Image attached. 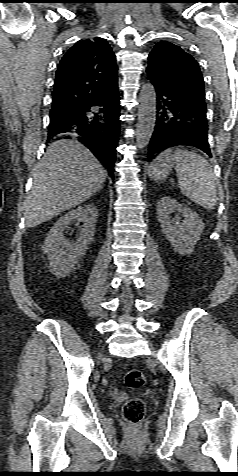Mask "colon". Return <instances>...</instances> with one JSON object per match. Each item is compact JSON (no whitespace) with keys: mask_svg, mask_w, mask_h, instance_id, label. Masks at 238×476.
<instances>
[{"mask_svg":"<svg viewBox=\"0 0 238 476\" xmlns=\"http://www.w3.org/2000/svg\"><path fill=\"white\" fill-rule=\"evenodd\" d=\"M145 381V375L139 369H129L124 374V382L130 388H140L145 384ZM144 414L145 404L139 398H131L123 406V416L132 425H138Z\"/></svg>","mask_w":238,"mask_h":476,"instance_id":"5ec220e1","label":"colon"}]
</instances>
